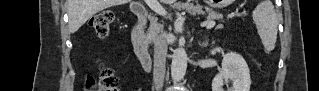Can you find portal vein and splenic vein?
Returning a JSON list of instances; mask_svg holds the SVG:
<instances>
[{
    "mask_svg": "<svg viewBox=\"0 0 319 91\" xmlns=\"http://www.w3.org/2000/svg\"><path fill=\"white\" fill-rule=\"evenodd\" d=\"M147 4H148L149 8L152 11H154L155 13H157L161 16L166 15V11L163 9V7L156 0H148ZM205 25H206L207 29H211L216 25V23H215V21H208L205 23Z\"/></svg>",
    "mask_w": 319,
    "mask_h": 91,
    "instance_id": "1",
    "label": "portal vein and splenic vein"
}]
</instances>
